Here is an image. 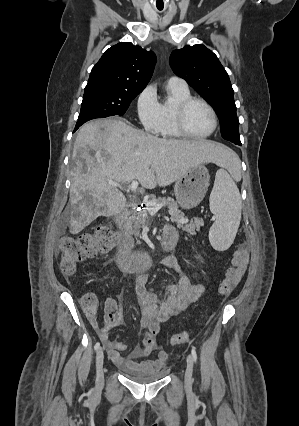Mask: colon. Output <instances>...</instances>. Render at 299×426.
<instances>
[{
  "mask_svg": "<svg viewBox=\"0 0 299 426\" xmlns=\"http://www.w3.org/2000/svg\"><path fill=\"white\" fill-rule=\"evenodd\" d=\"M120 235L111 225L98 227L93 233L80 235L77 238L62 237L59 241L61 252V269L66 275H72L77 267L86 259L97 254L108 253L119 242ZM248 264V250L246 245H239L234 251L232 266L225 272V277L220 283L219 291L222 295H229L242 280ZM82 305L86 313L93 316L98 307V299L92 294H85ZM189 334L180 332L174 334L170 343L181 345L189 342Z\"/></svg>",
  "mask_w": 299,
  "mask_h": 426,
  "instance_id": "1",
  "label": "colon"
}]
</instances>
